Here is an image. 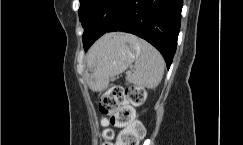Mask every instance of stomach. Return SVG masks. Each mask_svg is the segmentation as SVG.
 Returning <instances> with one entry per match:
<instances>
[{"mask_svg": "<svg viewBox=\"0 0 243 145\" xmlns=\"http://www.w3.org/2000/svg\"><path fill=\"white\" fill-rule=\"evenodd\" d=\"M140 53V41L135 36L110 34L90 56L86 71L89 87L94 91L106 89L110 77L125 71Z\"/></svg>", "mask_w": 243, "mask_h": 145, "instance_id": "0dacf381", "label": "stomach"}]
</instances>
